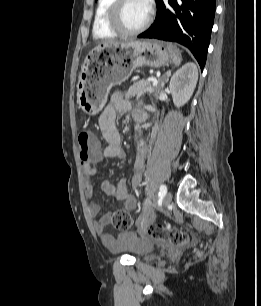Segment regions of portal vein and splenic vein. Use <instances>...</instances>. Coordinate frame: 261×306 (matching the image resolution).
Listing matches in <instances>:
<instances>
[{"label":"portal vein and splenic vein","mask_w":261,"mask_h":306,"mask_svg":"<svg viewBox=\"0 0 261 306\" xmlns=\"http://www.w3.org/2000/svg\"><path fill=\"white\" fill-rule=\"evenodd\" d=\"M157 84H158V81L157 80H153V86H156ZM148 90H150V88Z\"/></svg>","instance_id":"portal-vein-and-splenic-vein-1"}]
</instances>
